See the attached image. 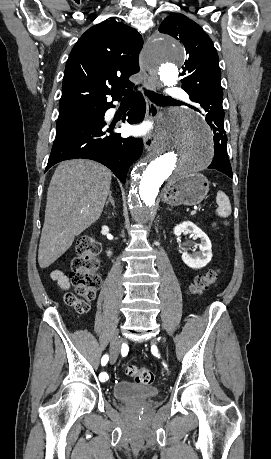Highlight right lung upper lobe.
Instances as JSON below:
<instances>
[{"label":"right lung upper lobe","mask_w":271,"mask_h":459,"mask_svg":"<svg viewBox=\"0 0 271 459\" xmlns=\"http://www.w3.org/2000/svg\"><path fill=\"white\" fill-rule=\"evenodd\" d=\"M143 45L141 35L115 20L89 28L73 47L66 63L60 111L87 105L107 106L106 95L120 98L116 90L131 87Z\"/></svg>","instance_id":"right-lung-upper-lobe-1"}]
</instances>
